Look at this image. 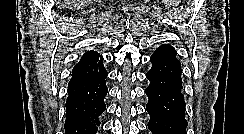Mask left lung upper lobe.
Listing matches in <instances>:
<instances>
[{"instance_id":"left-lung-upper-lobe-1","label":"left lung upper lobe","mask_w":244,"mask_h":134,"mask_svg":"<svg viewBox=\"0 0 244 134\" xmlns=\"http://www.w3.org/2000/svg\"><path fill=\"white\" fill-rule=\"evenodd\" d=\"M176 54L172 46L163 44L150 57L152 68L149 73L164 86H182L181 64Z\"/></svg>"}]
</instances>
